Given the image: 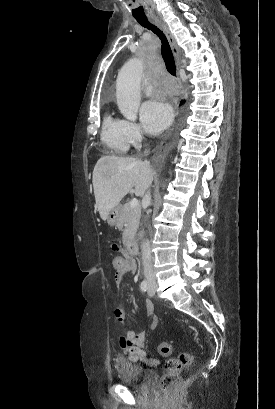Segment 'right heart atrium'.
<instances>
[{
    "instance_id": "1",
    "label": "right heart atrium",
    "mask_w": 275,
    "mask_h": 409,
    "mask_svg": "<svg viewBox=\"0 0 275 409\" xmlns=\"http://www.w3.org/2000/svg\"><path fill=\"white\" fill-rule=\"evenodd\" d=\"M124 122H125L126 132H127V136H128L130 144L134 146L139 145L144 139V135H145L144 128L142 127V125L136 122H132V121H124Z\"/></svg>"
}]
</instances>
